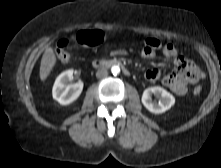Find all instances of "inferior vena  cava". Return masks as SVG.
<instances>
[{
  "instance_id": "602c4592",
  "label": "inferior vena cava",
  "mask_w": 221,
  "mask_h": 168,
  "mask_svg": "<svg viewBox=\"0 0 221 168\" xmlns=\"http://www.w3.org/2000/svg\"><path fill=\"white\" fill-rule=\"evenodd\" d=\"M108 76V71L106 69H99L97 72H96V77L97 78H105Z\"/></svg>"
}]
</instances>
